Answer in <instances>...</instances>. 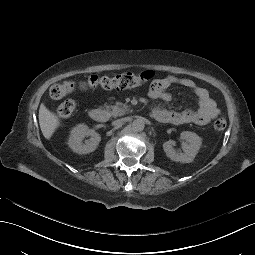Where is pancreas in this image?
<instances>
[{
  "mask_svg": "<svg viewBox=\"0 0 255 255\" xmlns=\"http://www.w3.org/2000/svg\"><path fill=\"white\" fill-rule=\"evenodd\" d=\"M106 111L113 117L123 116L126 114V105L116 102L114 106H106Z\"/></svg>",
  "mask_w": 255,
  "mask_h": 255,
  "instance_id": "obj_1",
  "label": "pancreas"
}]
</instances>
